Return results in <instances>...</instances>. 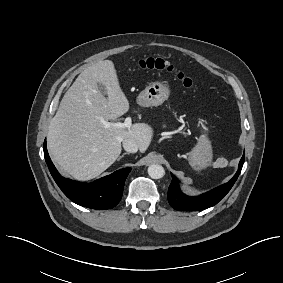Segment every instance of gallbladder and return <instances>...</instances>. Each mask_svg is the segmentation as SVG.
Masks as SVG:
<instances>
[{
    "label": "gallbladder",
    "mask_w": 283,
    "mask_h": 283,
    "mask_svg": "<svg viewBox=\"0 0 283 283\" xmlns=\"http://www.w3.org/2000/svg\"><path fill=\"white\" fill-rule=\"evenodd\" d=\"M98 88H99L101 93H103L104 95L106 94V89L103 85L99 84Z\"/></svg>",
    "instance_id": "gallbladder-1"
}]
</instances>
